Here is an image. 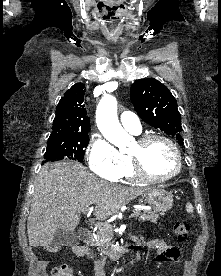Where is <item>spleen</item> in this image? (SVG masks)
Returning a JSON list of instances; mask_svg holds the SVG:
<instances>
[{"label":"spleen","mask_w":221,"mask_h":276,"mask_svg":"<svg viewBox=\"0 0 221 276\" xmlns=\"http://www.w3.org/2000/svg\"><path fill=\"white\" fill-rule=\"evenodd\" d=\"M193 210H194V207L191 203H187L186 204V211L189 213V214H192L193 213Z\"/></svg>","instance_id":"obj_1"}]
</instances>
